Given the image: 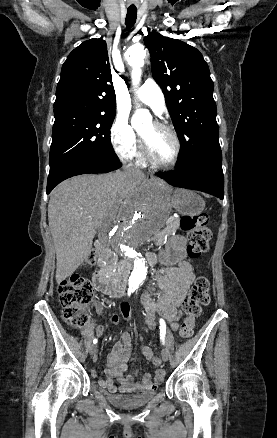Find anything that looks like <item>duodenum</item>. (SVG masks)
<instances>
[{
	"label": "duodenum",
	"mask_w": 277,
	"mask_h": 438,
	"mask_svg": "<svg viewBox=\"0 0 277 438\" xmlns=\"http://www.w3.org/2000/svg\"><path fill=\"white\" fill-rule=\"evenodd\" d=\"M95 247L100 254L99 270L93 276L95 288L101 293L110 296H120L125 294L126 285L124 277L132 267L130 260H123L119 263L118 272L113 274L108 269L104 255L106 252L105 245L101 241L95 243ZM145 259L150 265H155L158 261V256L155 253L148 252L145 254Z\"/></svg>",
	"instance_id": "duodenum-1"
}]
</instances>
